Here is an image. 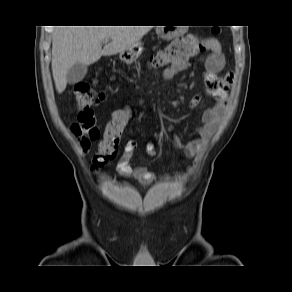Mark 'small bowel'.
<instances>
[{"label":"small bowel","instance_id":"1","mask_svg":"<svg viewBox=\"0 0 292 292\" xmlns=\"http://www.w3.org/2000/svg\"><path fill=\"white\" fill-rule=\"evenodd\" d=\"M205 45L207 49L211 50V54L205 61L207 72L205 77V94L213 98L215 104L203 113V125L198 129V135L195 138L184 143L178 138L175 139V143L182 147L186 156L199 155L213 137L223 118L227 106L228 89L232 82L231 73H227L223 77H218V73L224 67V54L219 42L214 39H209L205 42ZM188 66V62L183 61L167 67L163 72V80L173 79L177 74L187 69ZM201 101V95L192 97L190 107H199ZM136 148L137 143L135 141L127 142L124 153L117 162L116 171L125 178H133L142 185H149L158 176L154 172L149 171L145 166H133L131 164V159Z\"/></svg>","mask_w":292,"mask_h":292}]
</instances>
